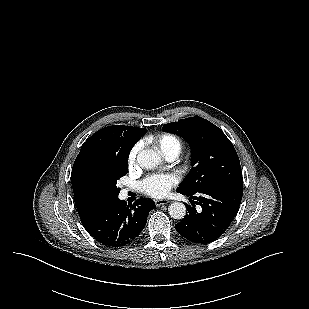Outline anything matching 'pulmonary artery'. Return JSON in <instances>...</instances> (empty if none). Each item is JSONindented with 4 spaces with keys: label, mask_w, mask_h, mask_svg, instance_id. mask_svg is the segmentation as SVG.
Wrapping results in <instances>:
<instances>
[{
    "label": "pulmonary artery",
    "mask_w": 309,
    "mask_h": 309,
    "mask_svg": "<svg viewBox=\"0 0 309 309\" xmlns=\"http://www.w3.org/2000/svg\"><path fill=\"white\" fill-rule=\"evenodd\" d=\"M178 154L176 153H170L168 155H166V158L169 160V161H172L174 160L176 157H177Z\"/></svg>",
    "instance_id": "1"
}]
</instances>
